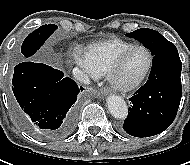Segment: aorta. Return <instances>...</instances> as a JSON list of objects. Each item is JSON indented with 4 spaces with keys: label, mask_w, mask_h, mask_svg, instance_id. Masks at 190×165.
I'll list each match as a JSON object with an SVG mask.
<instances>
[{
    "label": "aorta",
    "mask_w": 190,
    "mask_h": 165,
    "mask_svg": "<svg viewBox=\"0 0 190 165\" xmlns=\"http://www.w3.org/2000/svg\"><path fill=\"white\" fill-rule=\"evenodd\" d=\"M107 106L114 118L125 119L127 117L128 106L122 97L110 95L107 98Z\"/></svg>",
    "instance_id": "obj_1"
}]
</instances>
